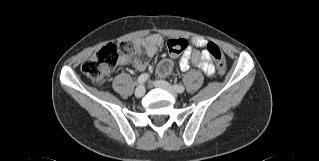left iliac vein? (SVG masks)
Listing matches in <instances>:
<instances>
[{
	"instance_id": "left-iliac-vein-1",
	"label": "left iliac vein",
	"mask_w": 319,
	"mask_h": 161,
	"mask_svg": "<svg viewBox=\"0 0 319 161\" xmlns=\"http://www.w3.org/2000/svg\"><path fill=\"white\" fill-rule=\"evenodd\" d=\"M154 85L158 88L168 91L170 94H172L175 97L177 96L176 90L168 82L164 80H156L154 82Z\"/></svg>"
}]
</instances>
